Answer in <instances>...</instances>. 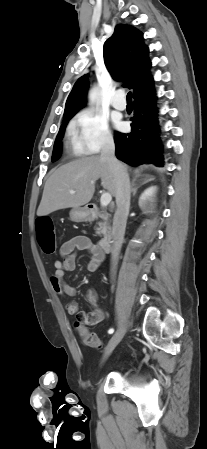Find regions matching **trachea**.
<instances>
[{
    "instance_id": "obj_1",
    "label": "trachea",
    "mask_w": 207,
    "mask_h": 449,
    "mask_svg": "<svg viewBox=\"0 0 207 449\" xmlns=\"http://www.w3.org/2000/svg\"><path fill=\"white\" fill-rule=\"evenodd\" d=\"M127 101L132 102V93L131 92H128V94H127Z\"/></svg>"
}]
</instances>
